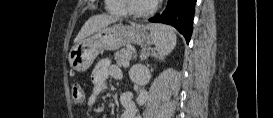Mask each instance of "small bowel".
Returning <instances> with one entry per match:
<instances>
[{"label": "small bowel", "instance_id": "obj_1", "mask_svg": "<svg viewBox=\"0 0 273 118\" xmlns=\"http://www.w3.org/2000/svg\"><path fill=\"white\" fill-rule=\"evenodd\" d=\"M109 77L123 80V73L119 67L112 65L108 59H102L96 64L91 74L93 88L86 101L88 107L96 105L99 96L107 87ZM121 102L124 107L121 118H139L136 105L130 96L124 95Z\"/></svg>", "mask_w": 273, "mask_h": 118}]
</instances>
